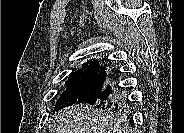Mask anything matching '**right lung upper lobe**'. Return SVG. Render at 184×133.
Instances as JSON below:
<instances>
[{"mask_svg":"<svg viewBox=\"0 0 184 133\" xmlns=\"http://www.w3.org/2000/svg\"><path fill=\"white\" fill-rule=\"evenodd\" d=\"M103 59V63H104ZM101 61L99 60H90L87 63H84V65L79 68L76 72H72L69 75V78H84V77H90L93 75H105L106 74V64L101 65Z\"/></svg>","mask_w":184,"mask_h":133,"instance_id":"cb5924a9","label":"right lung upper lobe"}]
</instances>
